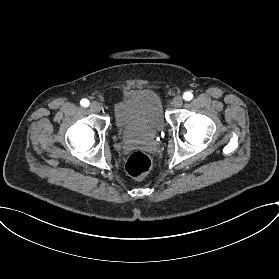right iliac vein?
<instances>
[{
    "instance_id": "obj_1",
    "label": "right iliac vein",
    "mask_w": 279,
    "mask_h": 279,
    "mask_svg": "<svg viewBox=\"0 0 279 279\" xmlns=\"http://www.w3.org/2000/svg\"><path fill=\"white\" fill-rule=\"evenodd\" d=\"M89 108L92 112L98 113L101 110V105L98 102H92Z\"/></svg>"
}]
</instances>
